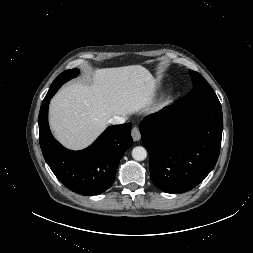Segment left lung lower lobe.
I'll return each mask as SVG.
<instances>
[{"label": "left lung lower lobe", "instance_id": "obj_1", "mask_svg": "<svg viewBox=\"0 0 253 253\" xmlns=\"http://www.w3.org/2000/svg\"><path fill=\"white\" fill-rule=\"evenodd\" d=\"M139 128L153 184L166 193H184L200 184L217 162L222 109L176 102L147 116Z\"/></svg>", "mask_w": 253, "mask_h": 253}]
</instances>
